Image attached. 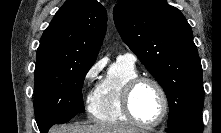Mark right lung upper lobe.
<instances>
[{
  "label": "right lung upper lobe",
  "instance_id": "obj_1",
  "mask_svg": "<svg viewBox=\"0 0 221 133\" xmlns=\"http://www.w3.org/2000/svg\"><path fill=\"white\" fill-rule=\"evenodd\" d=\"M107 27L105 8L95 0H67L44 31L35 71L95 62Z\"/></svg>",
  "mask_w": 221,
  "mask_h": 133
}]
</instances>
